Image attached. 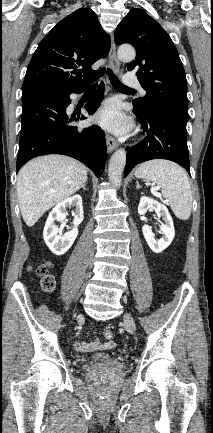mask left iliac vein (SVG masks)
Returning a JSON list of instances; mask_svg holds the SVG:
<instances>
[{
    "mask_svg": "<svg viewBox=\"0 0 213 433\" xmlns=\"http://www.w3.org/2000/svg\"><path fill=\"white\" fill-rule=\"evenodd\" d=\"M124 324L129 333L133 334L135 332V322L129 313L124 315Z\"/></svg>",
    "mask_w": 213,
    "mask_h": 433,
    "instance_id": "4c4485c4",
    "label": "left iliac vein"
}]
</instances>
